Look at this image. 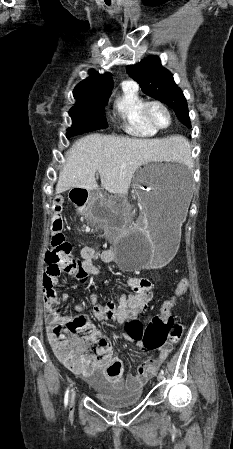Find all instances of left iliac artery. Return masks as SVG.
Instances as JSON below:
<instances>
[{
    "instance_id": "left-iliac-artery-1",
    "label": "left iliac artery",
    "mask_w": 233,
    "mask_h": 449,
    "mask_svg": "<svg viewBox=\"0 0 233 449\" xmlns=\"http://www.w3.org/2000/svg\"><path fill=\"white\" fill-rule=\"evenodd\" d=\"M161 374L164 375V370L163 369L161 370Z\"/></svg>"
}]
</instances>
